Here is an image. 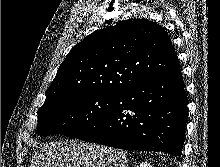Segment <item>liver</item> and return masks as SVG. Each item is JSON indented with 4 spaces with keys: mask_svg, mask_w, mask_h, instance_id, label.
<instances>
[{
    "mask_svg": "<svg viewBox=\"0 0 220 167\" xmlns=\"http://www.w3.org/2000/svg\"><path fill=\"white\" fill-rule=\"evenodd\" d=\"M30 167H126L127 152L79 141L43 144Z\"/></svg>",
    "mask_w": 220,
    "mask_h": 167,
    "instance_id": "6515ba94",
    "label": "liver"
}]
</instances>
